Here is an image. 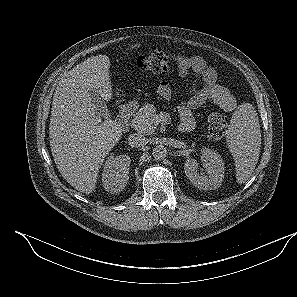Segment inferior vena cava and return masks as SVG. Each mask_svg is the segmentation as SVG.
<instances>
[{
	"label": "inferior vena cava",
	"instance_id": "602c4592",
	"mask_svg": "<svg viewBox=\"0 0 297 297\" xmlns=\"http://www.w3.org/2000/svg\"><path fill=\"white\" fill-rule=\"evenodd\" d=\"M148 139L139 133L131 134L128 137V144L132 147H144Z\"/></svg>",
	"mask_w": 297,
	"mask_h": 297
}]
</instances>
